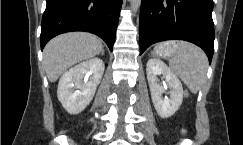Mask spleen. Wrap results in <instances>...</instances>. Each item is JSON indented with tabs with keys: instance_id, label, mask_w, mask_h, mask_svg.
Listing matches in <instances>:
<instances>
[{
	"instance_id": "spleen-1",
	"label": "spleen",
	"mask_w": 243,
	"mask_h": 145,
	"mask_svg": "<svg viewBox=\"0 0 243 145\" xmlns=\"http://www.w3.org/2000/svg\"><path fill=\"white\" fill-rule=\"evenodd\" d=\"M174 56L169 60L172 71L185 83L192 93H197L208 69V59L204 51L188 42H172Z\"/></svg>"
}]
</instances>
